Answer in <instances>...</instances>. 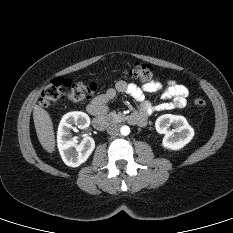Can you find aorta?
Wrapping results in <instances>:
<instances>
[{
  "label": "aorta",
  "mask_w": 233,
  "mask_h": 233,
  "mask_svg": "<svg viewBox=\"0 0 233 233\" xmlns=\"http://www.w3.org/2000/svg\"><path fill=\"white\" fill-rule=\"evenodd\" d=\"M120 132L122 135L127 136L130 133V128L124 125L120 128Z\"/></svg>",
  "instance_id": "obj_1"
}]
</instances>
